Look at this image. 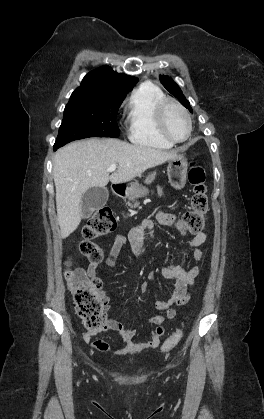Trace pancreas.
Listing matches in <instances>:
<instances>
[{"label":"pancreas","instance_id":"pancreas-1","mask_svg":"<svg viewBox=\"0 0 264 419\" xmlns=\"http://www.w3.org/2000/svg\"><path fill=\"white\" fill-rule=\"evenodd\" d=\"M156 173H151L146 177L145 183L146 184H151L154 179H155ZM138 202H135V204L133 205V207H137L138 206ZM131 206V205H130Z\"/></svg>","mask_w":264,"mask_h":419}]
</instances>
